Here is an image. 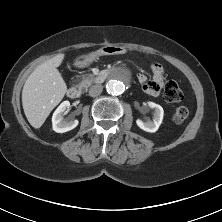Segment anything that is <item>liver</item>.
I'll return each mask as SVG.
<instances>
[{
  "instance_id": "1",
  "label": "liver",
  "mask_w": 222,
  "mask_h": 222,
  "mask_svg": "<svg viewBox=\"0 0 222 222\" xmlns=\"http://www.w3.org/2000/svg\"><path fill=\"white\" fill-rule=\"evenodd\" d=\"M60 53L39 65L27 78L22 90V106L30 125L40 128L50 112L63 99L67 86L57 67L64 59Z\"/></svg>"
}]
</instances>
